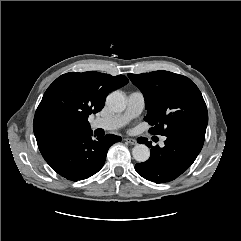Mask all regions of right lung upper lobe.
I'll return each mask as SVG.
<instances>
[{
	"mask_svg": "<svg viewBox=\"0 0 241 241\" xmlns=\"http://www.w3.org/2000/svg\"><path fill=\"white\" fill-rule=\"evenodd\" d=\"M127 83L124 75L94 71L61 75L48 87L36 110L33 122L36 140L89 130L88 116L101 111L107 95Z\"/></svg>",
	"mask_w": 241,
	"mask_h": 241,
	"instance_id": "right-lung-upper-lobe-1",
	"label": "right lung upper lobe"
}]
</instances>
